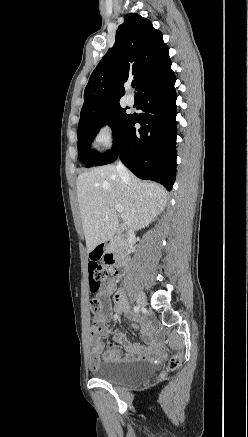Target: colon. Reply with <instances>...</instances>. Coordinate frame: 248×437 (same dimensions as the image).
I'll return each mask as SVG.
<instances>
[{
    "label": "colon",
    "instance_id": "colon-1",
    "mask_svg": "<svg viewBox=\"0 0 248 437\" xmlns=\"http://www.w3.org/2000/svg\"><path fill=\"white\" fill-rule=\"evenodd\" d=\"M98 258L91 259L88 265L89 270V286L92 292H97L99 286L105 283L112 275V259L109 256L102 257L104 262H98ZM90 307L94 314H98L101 311V303L95 298L90 301ZM180 364V355H174L170 358L168 368L175 370Z\"/></svg>",
    "mask_w": 248,
    "mask_h": 437
}]
</instances>
